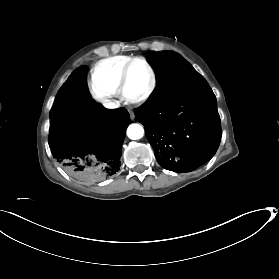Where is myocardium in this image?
<instances>
[{
	"mask_svg": "<svg viewBox=\"0 0 279 279\" xmlns=\"http://www.w3.org/2000/svg\"><path fill=\"white\" fill-rule=\"evenodd\" d=\"M136 62H141L147 67L151 75V84L149 89L142 96L130 97L127 93V79H128L130 68ZM156 87H157L156 71L146 58L141 56H136V57H132L130 60L126 62V64L124 65L120 73L119 90H118V94L125 102L132 103V104L144 103L147 100H149L150 97L154 94Z\"/></svg>",
	"mask_w": 279,
	"mask_h": 279,
	"instance_id": "f54148a6",
	"label": "myocardium"
}]
</instances>
